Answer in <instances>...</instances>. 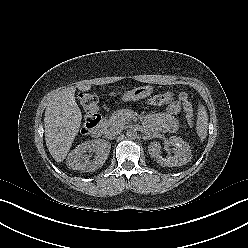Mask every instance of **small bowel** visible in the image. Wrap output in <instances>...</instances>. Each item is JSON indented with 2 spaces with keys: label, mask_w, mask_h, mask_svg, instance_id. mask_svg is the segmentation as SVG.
I'll list each match as a JSON object with an SVG mask.
<instances>
[{
  "label": "small bowel",
  "mask_w": 248,
  "mask_h": 248,
  "mask_svg": "<svg viewBox=\"0 0 248 248\" xmlns=\"http://www.w3.org/2000/svg\"><path fill=\"white\" fill-rule=\"evenodd\" d=\"M180 111L178 102H167L165 112L159 118L154 119L152 124L164 131H172L174 129L173 117Z\"/></svg>",
  "instance_id": "obj_1"
}]
</instances>
